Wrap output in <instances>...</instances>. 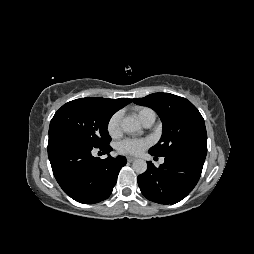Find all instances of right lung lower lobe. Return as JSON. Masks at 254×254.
<instances>
[{"instance_id": "1", "label": "right lung lower lobe", "mask_w": 254, "mask_h": 254, "mask_svg": "<svg viewBox=\"0 0 254 254\" xmlns=\"http://www.w3.org/2000/svg\"><path fill=\"white\" fill-rule=\"evenodd\" d=\"M94 149L108 157L92 156ZM111 150L109 145L93 147L58 134L50 135L48 141V157L58 184L68 196L83 204L98 203L110 196L119 171L126 164L123 156L112 158Z\"/></svg>"}]
</instances>
